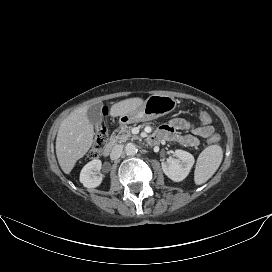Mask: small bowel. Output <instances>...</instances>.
<instances>
[{
  "instance_id": "small-bowel-1",
  "label": "small bowel",
  "mask_w": 272,
  "mask_h": 272,
  "mask_svg": "<svg viewBox=\"0 0 272 272\" xmlns=\"http://www.w3.org/2000/svg\"><path fill=\"white\" fill-rule=\"evenodd\" d=\"M183 131L188 133L182 134ZM213 132L211 125L196 126L183 118H174L157 130L153 135V140L166 139L186 147H196L199 144V138H210Z\"/></svg>"
}]
</instances>
